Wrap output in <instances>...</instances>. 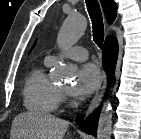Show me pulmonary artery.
<instances>
[{
  "mask_svg": "<svg viewBox=\"0 0 141 139\" xmlns=\"http://www.w3.org/2000/svg\"><path fill=\"white\" fill-rule=\"evenodd\" d=\"M62 56L76 61H84L88 58V51L84 47L74 46L65 50ZM46 60L52 63L56 60V56L49 55L46 57Z\"/></svg>",
  "mask_w": 141,
  "mask_h": 139,
  "instance_id": "1",
  "label": "pulmonary artery"
}]
</instances>
